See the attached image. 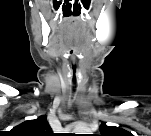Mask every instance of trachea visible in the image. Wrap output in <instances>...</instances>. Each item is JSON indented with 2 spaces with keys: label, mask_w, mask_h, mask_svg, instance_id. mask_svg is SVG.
I'll return each mask as SVG.
<instances>
[{
  "label": "trachea",
  "mask_w": 151,
  "mask_h": 136,
  "mask_svg": "<svg viewBox=\"0 0 151 136\" xmlns=\"http://www.w3.org/2000/svg\"><path fill=\"white\" fill-rule=\"evenodd\" d=\"M75 88H76V84H73V90H75Z\"/></svg>",
  "instance_id": "3493384b"
}]
</instances>
